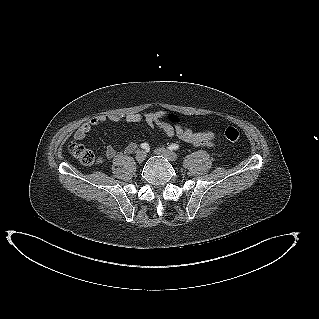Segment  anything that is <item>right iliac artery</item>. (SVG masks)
<instances>
[{"label":"right iliac artery","instance_id":"obj_1","mask_svg":"<svg viewBox=\"0 0 319 319\" xmlns=\"http://www.w3.org/2000/svg\"><path fill=\"white\" fill-rule=\"evenodd\" d=\"M140 147H141L142 149L148 150V149H149V144H148V143H142V144L140 145Z\"/></svg>","mask_w":319,"mask_h":319}]
</instances>
